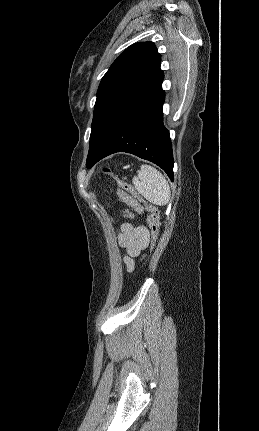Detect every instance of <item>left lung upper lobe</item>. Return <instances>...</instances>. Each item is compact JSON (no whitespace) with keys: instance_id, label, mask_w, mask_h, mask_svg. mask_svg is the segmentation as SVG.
I'll use <instances>...</instances> for the list:
<instances>
[{"instance_id":"1","label":"left lung upper lobe","mask_w":259,"mask_h":431,"mask_svg":"<svg viewBox=\"0 0 259 431\" xmlns=\"http://www.w3.org/2000/svg\"><path fill=\"white\" fill-rule=\"evenodd\" d=\"M160 63L155 44L140 42L127 48L111 65L97 91L87 162L117 123L161 84L164 74Z\"/></svg>"}]
</instances>
